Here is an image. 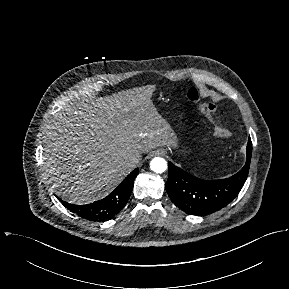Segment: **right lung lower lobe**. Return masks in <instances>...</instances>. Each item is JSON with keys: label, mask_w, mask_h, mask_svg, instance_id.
Wrapping results in <instances>:
<instances>
[{"label": "right lung lower lobe", "mask_w": 289, "mask_h": 289, "mask_svg": "<svg viewBox=\"0 0 289 289\" xmlns=\"http://www.w3.org/2000/svg\"><path fill=\"white\" fill-rule=\"evenodd\" d=\"M137 174L138 169H135L112 193L97 202L79 206L71 205L63 201H61V203L81 217L95 221L108 219L119 212L128 201Z\"/></svg>", "instance_id": "right-lung-lower-lobe-1"}]
</instances>
